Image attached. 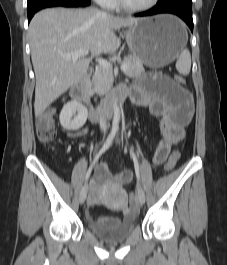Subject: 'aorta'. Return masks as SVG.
Segmentation results:
<instances>
[{
	"mask_svg": "<svg viewBox=\"0 0 227 265\" xmlns=\"http://www.w3.org/2000/svg\"><path fill=\"white\" fill-rule=\"evenodd\" d=\"M113 110H114L113 122L117 123L120 121L121 113H120L119 106L117 105L116 102H114Z\"/></svg>",
	"mask_w": 227,
	"mask_h": 265,
	"instance_id": "762f6f07",
	"label": "aorta"
}]
</instances>
